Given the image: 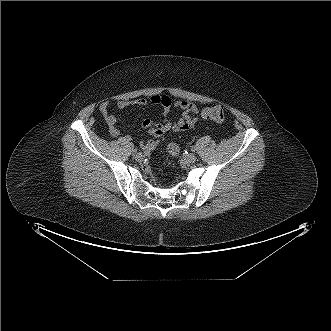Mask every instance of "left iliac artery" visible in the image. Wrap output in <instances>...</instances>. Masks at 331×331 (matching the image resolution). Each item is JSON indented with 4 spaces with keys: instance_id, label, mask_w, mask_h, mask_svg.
<instances>
[{
    "instance_id": "1",
    "label": "left iliac artery",
    "mask_w": 331,
    "mask_h": 331,
    "mask_svg": "<svg viewBox=\"0 0 331 331\" xmlns=\"http://www.w3.org/2000/svg\"><path fill=\"white\" fill-rule=\"evenodd\" d=\"M191 150H192L193 152H195V151H196V148H195V147H192Z\"/></svg>"
}]
</instances>
